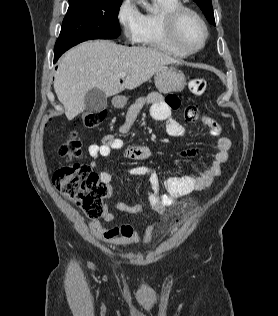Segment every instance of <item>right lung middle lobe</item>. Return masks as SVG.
<instances>
[{
  "label": "right lung middle lobe",
  "mask_w": 278,
  "mask_h": 316,
  "mask_svg": "<svg viewBox=\"0 0 278 316\" xmlns=\"http://www.w3.org/2000/svg\"><path fill=\"white\" fill-rule=\"evenodd\" d=\"M121 3L122 0H69L54 53H63L90 39L117 38Z\"/></svg>",
  "instance_id": "right-lung-middle-lobe-1"
}]
</instances>
